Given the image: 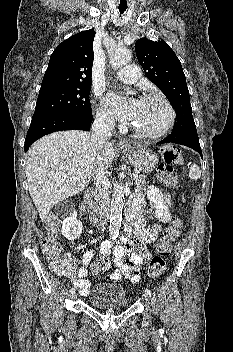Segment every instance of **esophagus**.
<instances>
[{"mask_svg":"<svg viewBox=\"0 0 233 352\" xmlns=\"http://www.w3.org/2000/svg\"><path fill=\"white\" fill-rule=\"evenodd\" d=\"M117 147L120 149H128L129 148V144L125 141H120L117 143Z\"/></svg>","mask_w":233,"mask_h":352,"instance_id":"esophagus-1","label":"esophagus"}]
</instances>
